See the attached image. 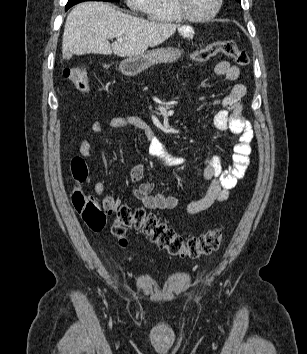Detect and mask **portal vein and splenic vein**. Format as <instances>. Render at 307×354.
<instances>
[{
  "mask_svg": "<svg viewBox=\"0 0 307 354\" xmlns=\"http://www.w3.org/2000/svg\"><path fill=\"white\" fill-rule=\"evenodd\" d=\"M117 40H118V41H122V39H121V38H118Z\"/></svg>",
  "mask_w": 307,
  "mask_h": 354,
  "instance_id": "1",
  "label": "portal vein and splenic vein"
}]
</instances>
